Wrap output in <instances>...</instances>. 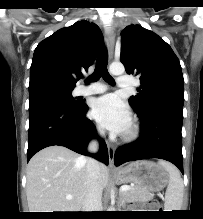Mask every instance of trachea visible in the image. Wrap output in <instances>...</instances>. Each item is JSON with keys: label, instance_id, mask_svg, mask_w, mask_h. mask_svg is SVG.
I'll list each match as a JSON object with an SVG mask.
<instances>
[{"label": "trachea", "instance_id": "3493384b", "mask_svg": "<svg viewBox=\"0 0 203 219\" xmlns=\"http://www.w3.org/2000/svg\"><path fill=\"white\" fill-rule=\"evenodd\" d=\"M107 63H108V55L105 48H103L98 56L96 67L93 74L89 77L91 81H97L100 77H102L106 82L109 84L114 85V79L108 73L107 70ZM88 83V80H86Z\"/></svg>", "mask_w": 203, "mask_h": 219}]
</instances>
